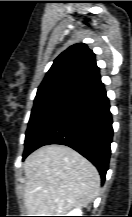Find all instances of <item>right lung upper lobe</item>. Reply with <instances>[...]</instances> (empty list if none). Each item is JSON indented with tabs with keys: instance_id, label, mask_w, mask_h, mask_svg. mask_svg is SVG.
Returning <instances> with one entry per match:
<instances>
[{
	"instance_id": "cb5924a9",
	"label": "right lung upper lobe",
	"mask_w": 132,
	"mask_h": 217,
	"mask_svg": "<svg viewBox=\"0 0 132 217\" xmlns=\"http://www.w3.org/2000/svg\"><path fill=\"white\" fill-rule=\"evenodd\" d=\"M103 87L94 53L78 43L62 52L47 72L37 95L64 91L81 96Z\"/></svg>"
}]
</instances>
